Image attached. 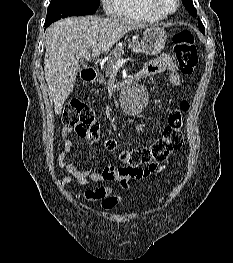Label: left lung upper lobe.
Masks as SVG:
<instances>
[{
	"label": "left lung upper lobe",
	"instance_id": "5c2ea615",
	"mask_svg": "<svg viewBox=\"0 0 233 263\" xmlns=\"http://www.w3.org/2000/svg\"><path fill=\"white\" fill-rule=\"evenodd\" d=\"M183 2L185 4V7L190 12V14L197 16V11H196V8L193 6L192 0H183ZM198 26H199L201 32L204 33L205 28L199 19H198Z\"/></svg>",
	"mask_w": 233,
	"mask_h": 263
}]
</instances>
